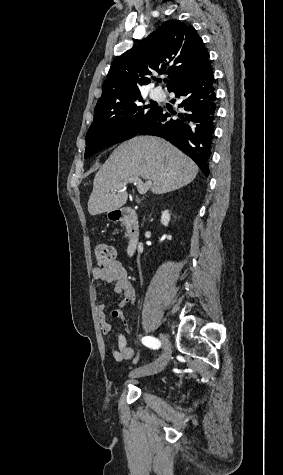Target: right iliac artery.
Returning a JSON list of instances; mask_svg holds the SVG:
<instances>
[{
	"label": "right iliac artery",
	"instance_id": "82829eb1",
	"mask_svg": "<svg viewBox=\"0 0 283 475\" xmlns=\"http://www.w3.org/2000/svg\"><path fill=\"white\" fill-rule=\"evenodd\" d=\"M142 343L152 349H156L160 345V341L152 336H146L142 338Z\"/></svg>",
	"mask_w": 283,
	"mask_h": 475
}]
</instances>
